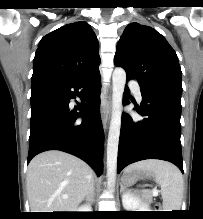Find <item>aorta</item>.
I'll list each match as a JSON object with an SVG mask.
<instances>
[{
	"label": "aorta",
	"instance_id": "762f6f07",
	"mask_svg": "<svg viewBox=\"0 0 203 219\" xmlns=\"http://www.w3.org/2000/svg\"><path fill=\"white\" fill-rule=\"evenodd\" d=\"M112 117L107 142V180L109 187H114L117 172V155L122 116V100L126 84V72L123 68H115L112 75Z\"/></svg>",
	"mask_w": 203,
	"mask_h": 219
}]
</instances>
